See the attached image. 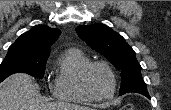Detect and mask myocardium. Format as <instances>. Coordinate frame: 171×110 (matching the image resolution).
<instances>
[{
  "mask_svg": "<svg viewBox=\"0 0 171 110\" xmlns=\"http://www.w3.org/2000/svg\"><path fill=\"white\" fill-rule=\"evenodd\" d=\"M97 66H100V67H103L105 68L108 73L110 74L111 76V79H112V90L110 92V94H108L107 96H96L95 94H93V92L91 91L89 85H88V76H89V73L91 72V70L94 68V67H97ZM80 85H81V88L82 90L84 91V93L93 101H108V100H111L115 94H116V91H117V77H116V74L114 72V70L112 69V67L104 62V61H94V62H90L88 63L82 70L81 74H80Z\"/></svg>",
  "mask_w": 171,
  "mask_h": 110,
  "instance_id": "1",
  "label": "myocardium"
}]
</instances>
